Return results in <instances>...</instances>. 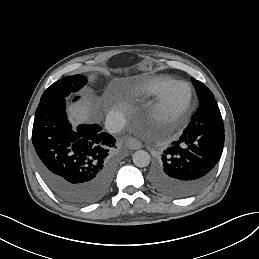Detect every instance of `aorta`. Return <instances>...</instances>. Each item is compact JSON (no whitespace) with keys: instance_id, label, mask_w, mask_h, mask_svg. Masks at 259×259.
Instances as JSON below:
<instances>
[{"instance_id":"obj_1","label":"aorta","mask_w":259,"mask_h":259,"mask_svg":"<svg viewBox=\"0 0 259 259\" xmlns=\"http://www.w3.org/2000/svg\"><path fill=\"white\" fill-rule=\"evenodd\" d=\"M132 160L137 167H146L150 163V155L147 151L138 150L133 154Z\"/></svg>"}]
</instances>
